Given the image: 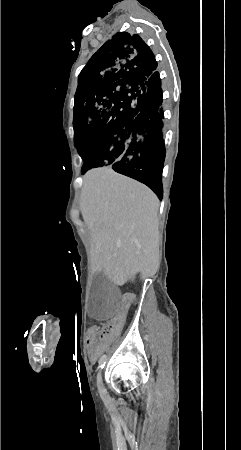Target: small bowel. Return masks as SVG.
I'll return each instance as SVG.
<instances>
[{
    "instance_id": "obj_1",
    "label": "small bowel",
    "mask_w": 241,
    "mask_h": 450,
    "mask_svg": "<svg viewBox=\"0 0 241 450\" xmlns=\"http://www.w3.org/2000/svg\"><path fill=\"white\" fill-rule=\"evenodd\" d=\"M121 306H122V308L127 309V308H129L130 303H129V301L124 300V301H122ZM116 316L120 319H124V318H126L127 313L124 310H120L116 313ZM113 327L112 328L106 327V328L102 329L100 332L106 336H109V335L113 336L117 333L116 329H120L122 327V322L120 320H115L113 322ZM88 333L90 335H93L95 333V330L93 328H90L88 330ZM102 334L99 336L101 339L104 337ZM102 352H103V346L101 344H91L89 346V356L94 361L98 359V357L102 354Z\"/></svg>"
}]
</instances>
